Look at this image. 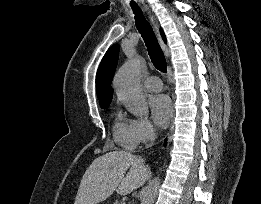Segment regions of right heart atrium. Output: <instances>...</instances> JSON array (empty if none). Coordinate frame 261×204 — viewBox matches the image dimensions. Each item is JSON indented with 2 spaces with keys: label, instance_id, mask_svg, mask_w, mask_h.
<instances>
[{
  "label": "right heart atrium",
  "instance_id": "d8ad5b80",
  "mask_svg": "<svg viewBox=\"0 0 261 204\" xmlns=\"http://www.w3.org/2000/svg\"><path fill=\"white\" fill-rule=\"evenodd\" d=\"M132 136L135 145L151 141L155 136V128L147 118H138L131 121Z\"/></svg>",
  "mask_w": 261,
  "mask_h": 204
}]
</instances>
